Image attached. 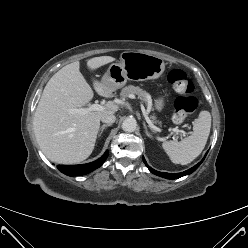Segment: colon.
Instances as JSON below:
<instances>
[{"label": "colon", "instance_id": "colon-1", "mask_svg": "<svg viewBox=\"0 0 248 248\" xmlns=\"http://www.w3.org/2000/svg\"><path fill=\"white\" fill-rule=\"evenodd\" d=\"M167 78L177 93L173 120L175 123H182L187 117L193 116L198 107V101L193 96L194 86L181 69L171 70Z\"/></svg>", "mask_w": 248, "mask_h": 248}]
</instances>
